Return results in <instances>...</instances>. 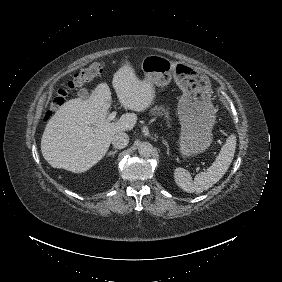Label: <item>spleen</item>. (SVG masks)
Listing matches in <instances>:
<instances>
[{"instance_id":"obj_1","label":"spleen","mask_w":282,"mask_h":282,"mask_svg":"<svg viewBox=\"0 0 282 282\" xmlns=\"http://www.w3.org/2000/svg\"><path fill=\"white\" fill-rule=\"evenodd\" d=\"M236 140L235 134H230L212 165L206 171L198 173L194 181L188 170L177 168L175 170V179L178 185L187 192L196 191L197 193L210 188L228 170L235 154Z\"/></svg>"}]
</instances>
